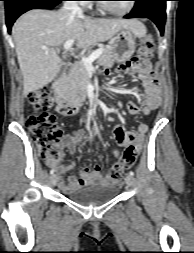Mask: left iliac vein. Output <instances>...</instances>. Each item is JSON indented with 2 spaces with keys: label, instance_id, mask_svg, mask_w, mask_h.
Segmentation results:
<instances>
[{
  "label": "left iliac vein",
  "instance_id": "left-iliac-vein-1",
  "mask_svg": "<svg viewBox=\"0 0 194 253\" xmlns=\"http://www.w3.org/2000/svg\"><path fill=\"white\" fill-rule=\"evenodd\" d=\"M125 182L129 187H132L134 184V178L131 175H127L125 178Z\"/></svg>",
  "mask_w": 194,
  "mask_h": 253
}]
</instances>
